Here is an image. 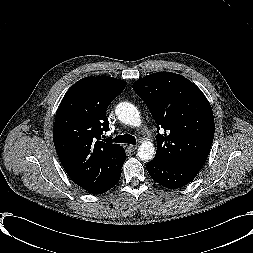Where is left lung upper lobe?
I'll list each match as a JSON object with an SVG mask.
<instances>
[{"instance_id":"1","label":"left lung upper lobe","mask_w":253,"mask_h":253,"mask_svg":"<svg viewBox=\"0 0 253 253\" xmlns=\"http://www.w3.org/2000/svg\"><path fill=\"white\" fill-rule=\"evenodd\" d=\"M133 89L145 102L157 124L153 160L203 166L214 137L212 108L203 92L185 77L159 72L134 82Z\"/></svg>"}]
</instances>
